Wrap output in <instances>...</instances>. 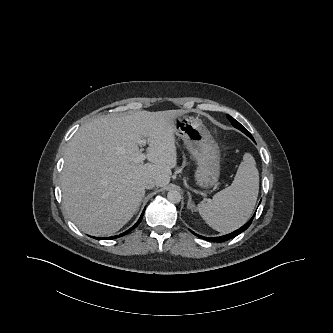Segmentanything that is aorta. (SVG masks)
Here are the masks:
<instances>
[{
    "label": "aorta",
    "instance_id": "aorta-1",
    "mask_svg": "<svg viewBox=\"0 0 333 333\" xmlns=\"http://www.w3.org/2000/svg\"><path fill=\"white\" fill-rule=\"evenodd\" d=\"M167 199L171 202V203H179L181 201V194L179 191L177 190H170L167 194Z\"/></svg>",
    "mask_w": 333,
    "mask_h": 333
}]
</instances>
